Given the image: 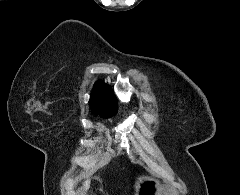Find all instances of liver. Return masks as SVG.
I'll use <instances>...</instances> for the list:
<instances>
[{
	"instance_id": "1",
	"label": "liver",
	"mask_w": 240,
	"mask_h": 195,
	"mask_svg": "<svg viewBox=\"0 0 240 195\" xmlns=\"http://www.w3.org/2000/svg\"><path fill=\"white\" fill-rule=\"evenodd\" d=\"M89 183H90V179H86V181H83L82 183L83 189H88Z\"/></svg>"
}]
</instances>
